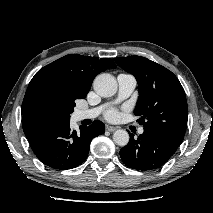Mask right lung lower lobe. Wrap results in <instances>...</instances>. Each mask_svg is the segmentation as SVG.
<instances>
[{"mask_svg": "<svg viewBox=\"0 0 213 213\" xmlns=\"http://www.w3.org/2000/svg\"><path fill=\"white\" fill-rule=\"evenodd\" d=\"M23 131L37 158L45 165L60 170L72 169L85 161L91 140L105 131V125L95 120L89 127L76 132L69 121L23 115Z\"/></svg>", "mask_w": 213, "mask_h": 213, "instance_id": "right-lung-lower-lobe-1", "label": "right lung lower lobe"}]
</instances>
